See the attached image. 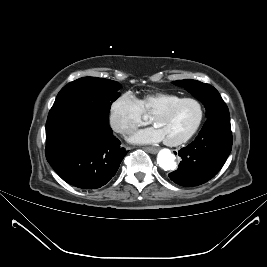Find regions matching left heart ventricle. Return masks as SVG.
<instances>
[{
  "label": "left heart ventricle",
  "instance_id": "obj_1",
  "mask_svg": "<svg viewBox=\"0 0 267 267\" xmlns=\"http://www.w3.org/2000/svg\"><path fill=\"white\" fill-rule=\"evenodd\" d=\"M198 107L193 102L178 105L171 112L156 118L155 126L165 140H176L186 135L198 118Z\"/></svg>",
  "mask_w": 267,
  "mask_h": 267
}]
</instances>
